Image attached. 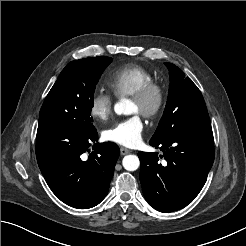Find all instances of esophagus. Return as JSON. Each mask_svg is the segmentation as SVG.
Instances as JSON below:
<instances>
[{
    "mask_svg": "<svg viewBox=\"0 0 246 246\" xmlns=\"http://www.w3.org/2000/svg\"><path fill=\"white\" fill-rule=\"evenodd\" d=\"M131 152V150H129V149H127V148H124V147H121L120 148V153H121V155H126V154H128V153H130Z\"/></svg>",
    "mask_w": 246,
    "mask_h": 246,
    "instance_id": "obj_1",
    "label": "esophagus"
}]
</instances>
